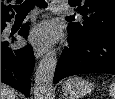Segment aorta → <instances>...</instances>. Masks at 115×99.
Here are the masks:
<instances>
[{"instance_id": "1", "label": "aorta", "mask_w": 115, "mask_h": 99, "mask_svg": "<svg viewBox=\"0 0 115 99\" xmlns=\"http://www.w3.org/2000/svg\"><path fill=\"white\" fill-rule=\"evenodd\" d=\"M56 65L57 57L54 51L48 52L41 59L35 74L34 99H51Z\"/></svg>"}]
</instances>
